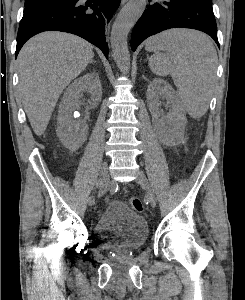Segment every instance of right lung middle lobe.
<instances>
[{"label": "right lung middle lobe", "instance_id": "obj_1", "mask_svg": "<svg viewBox=\"0 0 245 300\" xmlns=\"http://www.w3.org/2000/svg\"><path fill=\"white\" fill-rule=\"evenodd\" d=\"M66 0H34L25 2L24 13Z\"/></svg>", "mask_w": 245, "mask_h": 300}]
</instances>
